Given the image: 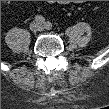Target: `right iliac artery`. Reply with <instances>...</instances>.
I'll list each match as a JSON object with an SVG mask.
<instances>
[{
	"instance_id": "1",
	"label": "right iliac artery",
	"mask_w": 109,
	"mask_h": 109,
	"mask_svg": "<svg viewBox=\"0 0 109 109\" xmlns=\"http://www.w3.org/2000/svg\"><path fill=\"white\" fill-rule=\"evenodd\" d=\"M35 21H36L37 23H44L45 19H44V17H43L42 15H37V16L35 17Z\"/></svg>"
}]
</instances>
